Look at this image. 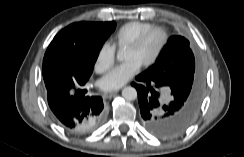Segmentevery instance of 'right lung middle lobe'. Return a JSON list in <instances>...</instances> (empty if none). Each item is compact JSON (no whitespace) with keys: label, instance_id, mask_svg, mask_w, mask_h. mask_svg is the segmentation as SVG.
<instances>
[{"label":"right lung middle lobe","instance_id":"dd1d6c3e","mask_svg":"<svg viewBox=\"0 0 244 157\" xmlns=\"http://www.w3.org/2000/svg\"><path fill=\"white\" fill-rule=\"evenodd\" d=\"M115 22H79L61 30L43 59L47 96L70 83H85L105 40L115 30Z\"/></svg>","mask_w":244,"mask_h":157}]
</instances>
